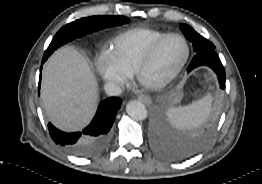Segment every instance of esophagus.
I'll return each mask as SVG.
<instances>
[{"label": "esophagus", "instance_id": "34e87169", "mask_svg": "<svg viewBox=\"0 0 262 184\" xmlns=\"http://www.w3.org/2000/svg\"><path fill=\"white\" fill-rule=\"evenodd\" d=\"M138 99L146 105H150L152 103L151 97L145 94L140 95Z\"/></svg>", "mask_w": 262, "mask_h": 184}]
</instances>
